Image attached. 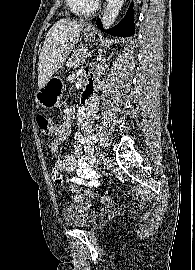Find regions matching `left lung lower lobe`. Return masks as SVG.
<instances>
[{"label":"left lung lower lobe","mask_w":195,"mask_h":270,"mask_svg":"<svg viewBox=\"0 0 195 270\" xmlns=\"http://www.w3.org/2000/svg\"><path fill=\"white\" fill-rule=\"evenodd\" d=\"M133 3L131 4L130 8L127 11L126 16L124 19L115 27L104 30L100 19H97L96 24L97 26L104 32L109 33L114 36H121V37H128L135 34V26H134V10L132 9Z\"/></svg>","instance_id":"obj_1"}]
</instances>
